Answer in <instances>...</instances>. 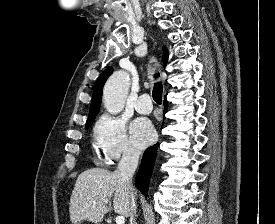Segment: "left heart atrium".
<instances>
[{"label":"left heart atrium","instance_id":"left-heart-atrium-1","mask_svg":"<svg viewBox=\"0 0 275 224\" xmlns=\"http://www.w3.org/2000/svg\"><path fill=\"white\" fill-rule=\"evenodd\" d=\"M130 133L132 142L137 148L146 147L153 141L155 136L151 123L144 118H138L132 122Z\"/></svg>","mask_w":275,"mask_h":224}]
</instances>
